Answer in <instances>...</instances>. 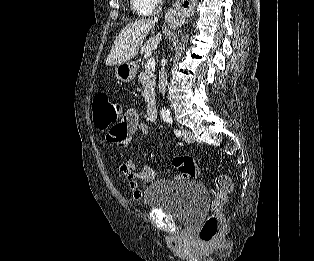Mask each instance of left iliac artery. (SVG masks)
Returning a JSON list of instances; mask_svg holds the SVG:
<instances>
[{"instance_id": "obj_1", "label": "left iliac artery", "mask_w": 314, "mask_h": 261, "mask_svg": "<svg viewBox=\"0 0 314 261\" xmlns=\"http://www.w3.org/2000/svg\"><path fill=\"white\" fill-rule=\"evenodd\" d=\"M166 121H167L169 124H172V123H173V121H172L171 118H168ZM174 133H175V135L178 136V137H180V136L182 135V132H181L180 130H178V129H174Z\"/></svg>"}]
</instances>
